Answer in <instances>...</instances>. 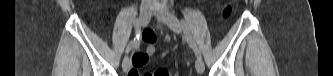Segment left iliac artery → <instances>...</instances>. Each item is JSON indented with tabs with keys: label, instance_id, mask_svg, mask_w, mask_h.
I'll return each mask as SVG.
<instances>
[{
	"label": "left iliac artery",
	"instance_id": "1",
	"mask_svg": "<svg viewBox=\"0 0 333 76\" xmlns=\"http://www.w3.org/2000/svg\"><path fill=\"white\" fill-rule=\"evenodd\" d=\"M181 24H182V26H183L184 29H185V32H186V35H187L186 39H187V42H188L189 46L192 47V49H193V51L195 52V55L197 56V58L202 59V57H201V52H200V50L198 49V47H197V45H196V43H195V41H194L192 35H191L190 32H189V30H188V28H187V24H186V22H185L184 20H181Z\"/></svg>",
	"mask_w": 333,
	"mask_h": 76
}]
</instances>
